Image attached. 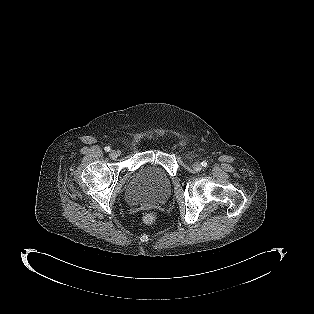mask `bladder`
I'll return each mask as SVG.
<instances>
[{"label": "bladder", "instance_id": "bladder-1", "mask_svg": "<svg viewBox=\"0 0 314 314\" xmlns=\"http://www.w3.org/2000/svg\"><path fill=\"white\" fill-rule=\"evenodd\" d=\"M170 194V178L157 165H146L139 169L125 188V198L132 205L161 204Z\"/></svg>", "mask_w": 314, "mask_h": 314}]
</instances>
